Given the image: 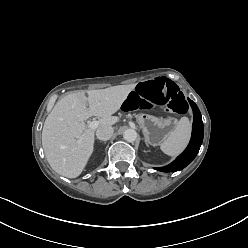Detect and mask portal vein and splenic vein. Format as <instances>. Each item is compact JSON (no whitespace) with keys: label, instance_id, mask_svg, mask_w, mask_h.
Segmentation results:
<instances>
[{"label":"portal vein and splenic vein","instance_id":"1","mask_svg":"<svg viewBox=\"0 0 248 248\" xmlns=\"http://www.w3.org/2000/svg\"><path fill=\"white\" fill-rule=\"evenodd\" d=\"M100 122L99 121H92L88 124V127L90 129H96L99 126Z\"/></svg>","mask_w":248,"mask_h":248}]
</instances>
